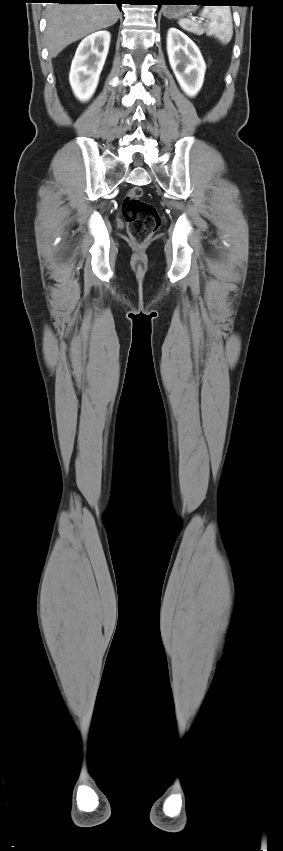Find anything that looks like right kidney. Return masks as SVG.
Segmentation results:
<instances>
[{
	"label": "right kidney",
	"mask_w": 283,
	"mask_h": 851,
	"mask_svg": "<svg viewBox=\"0 0 283 851\" xmlns=\"http://www.w3.org/2000/svg\"><path fill=\"white\" fill-rule=\"evenodd\" d=\"M108 31H98L79 44L71 64L69 81L75 96L88 101L98 85L110 45Z\"/></svg>",
	"instance_id": "right-kidney-1"
}]
</instances>
